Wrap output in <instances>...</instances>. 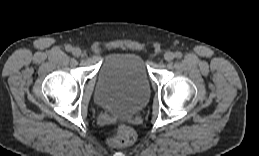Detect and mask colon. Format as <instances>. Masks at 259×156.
Returning a JSON list of instances; mask_svg holds the SVG:
<instances>
[{
  "label": "colon",
  "instance_id": "5ec220e1",
  "mask_svg": "<svg viewBox=\"0 0 259 156\" xmlns=\"http://www.w3.org/2000/svg\"><path fill=\"white\" fill-rule=\"evenodd\" d=\"M136 139V133L133 128L128 125L121 124L117 128V133L109 140V144L113 147H123L132 144Z\"/></svg>",
  "mask_w": 259,
  "mask_h": 156
}]
</instances>
